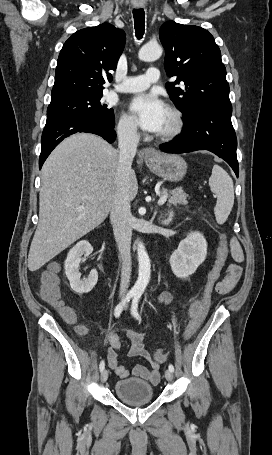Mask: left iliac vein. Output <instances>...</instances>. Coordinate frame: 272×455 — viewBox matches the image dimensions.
Instances as JSON below:
<instances>
[{"mask_svg":"<svg viewBox=\"0 0 272 455\" xmlns=\"http://www.w3.org/2000/svg\"><path fill=\"white\" fill-rule=\"evenodd\" d=\"M165 378H166L167 381H172L173 374H172V372L170 370H166L165 371Z\"/></svg>","mask_w":272,"mask_h":455,"instance_id":"1","label":"left iliac vein"}]
</instances>
